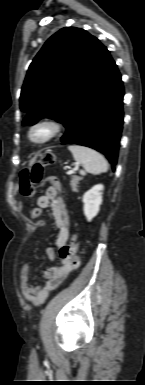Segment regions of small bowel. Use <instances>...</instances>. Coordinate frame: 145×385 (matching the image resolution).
Masks as SVG:
<instances>
[{
    "label": "small bowel",
    "mask_w": 145,
    "mask_h": 385,
    "mask_svg": "<svg viewBox=\"0 0 145 385\" xmlns=\"http://www.w3.org/2000/svg\"><path fill=\"white\" fill-rule=\"evenodd\" d=\"M38 209L50 207L52 210L57 237L55 245L57 248L64 246L70 237L69 213L60 196V182L56 178L49 179V187L44 195L37 199ZM44 221H39L37 226H44ZM46 254L50 261H55L56 254L52 247L46 248ZM74 267L70 261L62 259L60 266L51 267L45 272V281L40 285L30 283V265L24 264L21 269V294L29 305L40 306L45 303L49 293L55 290L65 281Z\"/></svg>",
    "instance_id": "small-bowel-1"
}]
</instances>
